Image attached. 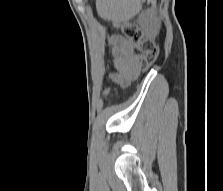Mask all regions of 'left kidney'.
I'll use <instances>...</instances> for the list:
<instances>
[{"instance_id":"5707ae66","label":"left kidney","mask_w":223,"mask_h":191,"mask_svg":"<svg viewBox=\"0 0 223 191\" xmlns=\"http://www.w3.org/2000/svg\"><path fill=\"white\" fill-rule=\"evenodd\" d=\"M140 23L148 37H155L160 28V20L153 10L145 11L140 17Z\"/></svg>"}]
</instances>
